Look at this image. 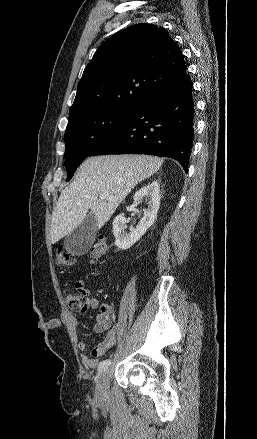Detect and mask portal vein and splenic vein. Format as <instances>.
I'll list each match as a JSON object with an SVG mask.
<instances>
[{
    "label": "portal vein and splenic vein",
    "mask_w": 257,
    "mask_h": 439,
    "mask_svg": "<svg viewBox=\"0 0 257 439\" xmlns=\"http://www.w3.org/2000/svg\"><path fill=\"white\" fill-rule=\"evenodd\" d=\"M99 198H100V199H106V200H112V199H113L112 196H109V195L106 194V193L100 194Z\"/></svg>",
    "instance_id": "18ae733b"
}]
</instances>
